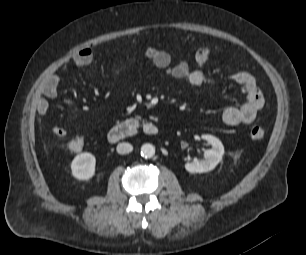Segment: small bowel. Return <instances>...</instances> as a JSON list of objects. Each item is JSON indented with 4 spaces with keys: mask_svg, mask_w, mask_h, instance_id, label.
Masks as SVG:
<instances>
[{
    "mask_svg": "<svg viewBox=\"0 0 306 255\" xmlns=\"http://www.w3.org/2000/svg\"><path fill=\"white\" fill-rule=\"evenodd\" d=\"M144 57L154 67L164 70L170 77L183 81L189 85L200 87L212 85L215 83L213 77L205 74L200 69H194L188 60H181L176 64L172 63L171 55L161 49L149 47L144 52ZM211 57V51L208 47L199 48L194 54V61L199 66L208 64ZM93 59V53L90 48L80 49L72 58L71 64L77 67L88 65ZM70 63H66L63 69H66ZM120 71H115L119 75ZM61 81L59 73H53L48 76L39 88V95L36 99L37 112L44 116L49 108V99H53L58 94V87ZM233 81L241 86L245 101L240 106H231L223 110L221 118L228 126H237L240 124L252 123L264 105V98L257 82L252 74L246 71H240L234 74ZM53 133L60 138L67 135V131L61 126H54Z\"/></svg>",
    "mask_w": 306,
    "mask_h": 255,
    "instance_id": "small-bowel-1",
    "label": "small bowel"
}]
</instances>
